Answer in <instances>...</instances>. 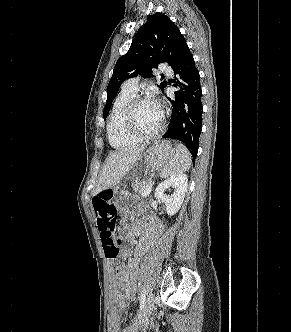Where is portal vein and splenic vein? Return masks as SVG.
<instances>
[{"instance_id": "18ae733b", "label": "portal vein and splenic vein", "mask_w": 291, "mask_h": 332, "mask_svg": "<svg viewBox=\"0 0 291 332\" xmlns=\"http://www.w3.org/2000/svg\"><path fill=\"white\" fill-rule=\"evenodd\" d=\"M152 183L149 185V187L146 189L145 193L143 194L144 196H147L150 194L151 190H152Z\"/></svg>"}]
</instances>
